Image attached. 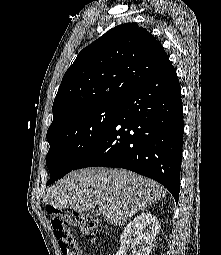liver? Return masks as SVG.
<instances>
[{
  "label": "liver",
  "instance_id": "obj_1",
  "mask_svg": "<svg viewBox=\"0 0 221 255\" xmlns=\"http://www.w3.org/2000/svg\"><path fill=\"white\" fill-rule=\"evenodd\" d=\"M165 195L163 186L134 172L87 168L66 175L46 191L43 201L58 210L72 209L80 213L99 205L107 222L122 226Z\"/></svg>",
  "mask_w": 221,
  "mask_h": 255
}]
</instances>
